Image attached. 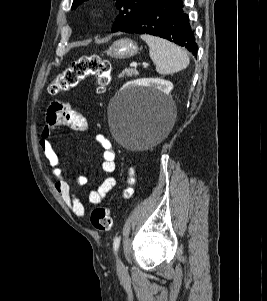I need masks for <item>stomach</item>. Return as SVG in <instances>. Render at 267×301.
I'll return each instance as SVG.
<instances>
[{
    "instance_id": "0dacf381",
    "label": "stomach",
    "mask_w": 267,
    "mask_h": 301,
    "mask_svg": "<svg viewBox=\"0 0 267 301\" xmlns=\"http://www.w3.org/2000/svg\"><path fill=\"white\" fill-rule=\"evenodd\" d=\"M138 53V46L131 39L124 38L115 41L106 54L115 59H126L133 57Z\"/></svg>"
}]
</instances>
